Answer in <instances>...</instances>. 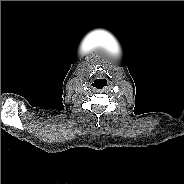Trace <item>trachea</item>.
<instances>
[{
    "mask_svg": "<svg viewBox=\"0 0 184 184\" xmlns=\"http://www.w3.org/2000/svg\"><path fill=\"white\" fill-rule=\"evenodd\" d=\"M91 86L96 89H103L107 86V80L103 78H97L92 82Z\"/></svg>",
    "mask_w": 184,
    "mask_h": 184,
    "instance_id": "obj_1",
    "label": "trachea"
}]
</instances>
